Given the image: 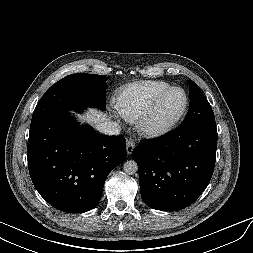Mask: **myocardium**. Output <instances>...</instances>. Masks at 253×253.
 Masks as SVG:
<instances>
[{
  "instance_id": "obj_1",
  "label": "myocardium",
  "mask_w": 253,
  "mask_h": 253,
  "mask_svg": "<svg viewBox=\"0 0 253 253\" xmlns=\"http://www.w3.org/2000/svg\"><path fill=\"white\" fill-rule=\"evenodd\" d=\"M179 91L183 94L184 97V105L179 112V114L170 122L163 124V125H155L152 122V118L156 112V109L158 108L160 102L170 93ZM189 107V99L186 91L180 87H170L167 90L163 91L159 95L155 97V99L152 101L148 109L145 111V113L141 116L138 122V129L140 133L149 138V139H156L163 137L167 134H169L172 130H174L178 124L182 121L184 116L187 113Z\"/></svg>"
}]
</instances>
